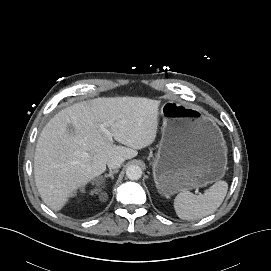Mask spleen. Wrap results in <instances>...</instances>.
I'll list each match as a JSON object with an SVG mask.
<instances>
[{"instance_id":"1","label":"spleen","mask_w":271,"mask_h":271,"mask_svg":"<svg viewBox=\"0 0 271 271\" xmlns=\"http://www.w3.org/2000/svg\"><path fill=\"white\" fill-rule=\"evenodd\" d=\"M227 190L228 184L225 181H217L201 195L182 191L175 197V212L183 220H199L220 207Z\"/></svg>"}]
</instances>
